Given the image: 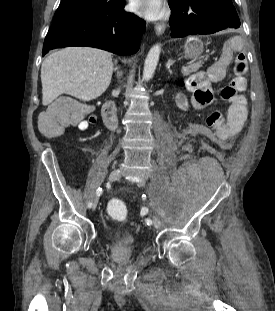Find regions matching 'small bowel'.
Segmentation results:
<instances>
[{
  "mask_svg": "<svg viewBox=\"0 0 275 311\" xmlns=\"http://www.w3.org/2000/svg\"><path fill=\"white\" fill-rule=\"evenodd\" d=\"M241 38L236 36L227 42L226 50L221 60H213L208 69H200V73H192V80H186V92L193 93V110L196 108H208L206 112L207 128L212 129V143H230L236 138V133H242L244 121L247 116V100L244 95L239 94L233 101L229 102L228 117L224 119L221 109L214 102L212 92V80H225V72L233 66L232 57H246L247 51L242 50ZM97 116L89 115L80 120L76 126L81 131L88 130L97 122ZM79 169V166H76Z\"/></svg>",
  "mask_w": 275,
  "mask_h": 311,
  "instance_id": "obj_1",
  "label": "small bowel"
}]
</instances>
